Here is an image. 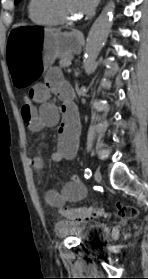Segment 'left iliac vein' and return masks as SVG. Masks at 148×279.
<instances>
[{
  "label": "left iliac vein",
  "instance_id": "4c4485c4",
  "mask_svg": "<svg viewBox=\"0 0 148 279\" xmlns=\"http://www.w3.org/2000/svg\"><path fill=\"white\" fill-rule=\"evenodd\" d=\"M94 178H95V180H96L97 183H101V181H102V176H101V173H100L98 170H96V171L94 172Z\"/></svg>",
  "mask_w": 148,
  "mask_h": 279
}]
</instances>
